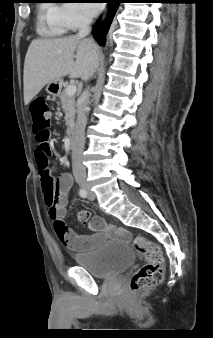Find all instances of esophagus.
Returning <instances> with one entry per match:
<instances>
[{"label":"esophagus","mask_w":213,"mask_h":338,"mask_svg":"<svg viewBox=\"0 0 213 338\" xmlns=\"http://www.w3.org/2000/svg\"><path fill=\"white\" fill-rule=\"evenodd\" d=\"M106 13H107V8H106L105 11H104V14H103V16H102V19L105 18Z\"/></svg>","instance_id":"1"}]
</instances>
